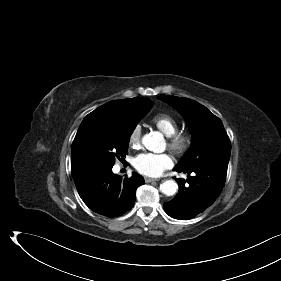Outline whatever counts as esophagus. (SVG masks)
Masks as SVG:
<instances>
[{
  "label": "esophagus",
  "instance_id": "esophagus-1",
  "mask_svg": "<svg viewBox=\"0 0 281 281\" xmlns=\"http://www.w3.org/2000/svg\"><path fill=\"white\" fill-rule=\"evenodd\" d=\"M145 181H146L147 183H149V182H156V181H159V179H154V178L146 177V178H145Z\"/></svg>",
  "mask_w": 281,
  "mask_h": 281
}]
</instances>
